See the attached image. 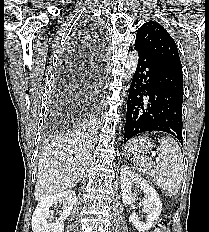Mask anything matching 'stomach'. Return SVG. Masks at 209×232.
<instances>
[{
  "label": "stomach",
  "mask_w": 209,
  "mask_h": 232,
  "mask_svg": "<svg viewBox=\"0 0 209 232\" xmlns=\"http://www.w3.org/2000/svg\"><path fill=\"white\" fill-rule=\"evenodd\" d=\"M154 144L151 139L146 136H140L129 141L125 147L126 155H143L152 151Z\"/></svg>",
  "instance_id": "1"
}]
</instances>
